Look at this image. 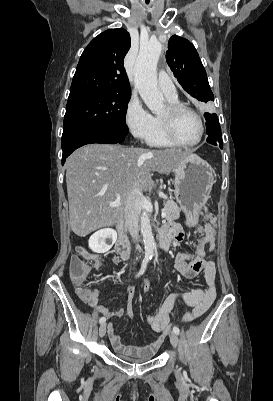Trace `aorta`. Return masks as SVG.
Masks as SVG:
<instances>
[{
    "label": "aorta",
    "mask_w": 273,
    "mask_h": 401,
    "mask_svg": "<svg viewBox=\"0 0 273 401\" xmlns=\"http://www.w3.org/2000/svg\"><path fill=\"white\" fill-rule=\"evenodd\" d=\"M162 46L158 41H150L140 48L135 62V87L146 106L154 114H159L164 107V97L157 87V63ZM141 234L145 248V257L154 256L155 241L149 215L143 211L140 217Z\"/></svg>",
    "instance_id": "obj_1"
}]
</instances>
